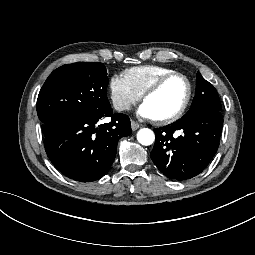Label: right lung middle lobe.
<instances>
[{
    "label": "right lung middle lobe",
    "instance_id": "obj_1",
    "mask_svg": "<svg viewBox=\"0 0 255 255\" xmlns=\"http://www.w3.org/2000/svg\"><path fill=\"white\" fill-rule=\"evenodd\" d=\"M107 86L106 68L99 62H77L54 70L42 86L36 104L43 129L60 119H100L112 113Z\"/></svg>",
    "mask_w": 255,
    "mask_h": 255
}]
</instances>
